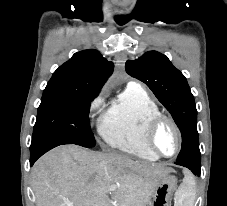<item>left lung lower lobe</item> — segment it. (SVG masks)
Segmentation results:
<instances>
[{
    "label": "left lung lower lobe",
    "instance_id": "obj_1",
    "mask_svg": "<svg viewBox=\"0 0 227 206\" xmlns=\"http://www.w3.org/2000/svg\"><path fill=\"white\" fill-rule=\"evenodd\" d=\"M175 164L184 166L190 169L194 175L200 176V162H189V161H176Z\"/></svg>",
    "mask_w": 227,
    "mask_h": 206
}]
</instances>
